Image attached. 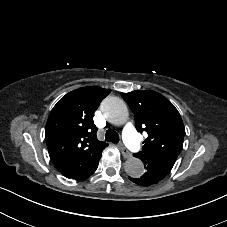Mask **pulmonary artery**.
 <instances>
[{
    "instance_id": "pulmonary-artery-1",
    "label": "pulmonary artery",
    "mask_w": 227,
    "mask_h": 227,
    "mask_svg": "<svg viewBox=\"0 0 227 227\" xmlns=\"http://www.w3.org/2000/svg\"><path fill=\"white\" fill-rule=\"evenodd\" d=\"M140 133L138 131H133V125L131 123H126L124 125V142L129 146L133 152H139L141 150V145L139 144Z\"/></svg>"
}]
</instances>
